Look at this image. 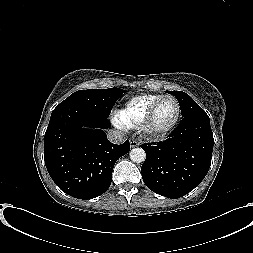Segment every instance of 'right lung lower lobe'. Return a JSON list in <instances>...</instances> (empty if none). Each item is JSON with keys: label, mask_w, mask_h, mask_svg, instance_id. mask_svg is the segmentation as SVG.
<instances>
[{"label": "right lung lower lobe", "mask_w": 253, "mask_h": 253, "mask_svg": "<svg viewBox=\"0 0 253 253\" xmlns=\"http://www.w3.org/2000/svg\"><path fill=\"white\" fill-rule=\"evenodd\" d=\"M108 117L81 106L56 107L44 140L45 165L66 194L92 199L108 190L115 162L130 144L111 143L104 132Z\"/></svg>", "instance_id": "98d812e1"}]
</instances>
